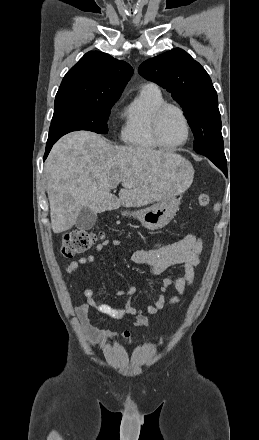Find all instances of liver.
<instances>
[{"instance_id": "6515ba94", "label": "liver", "mask_w": 259, "mask_h": 440, "mask_svg": "<svg viewBox=\"0 0 259 440\" xmlns=\"http://www.w3.org/2000/svg\"><path fill=\"white\" fill-rule=\"evenodd\" d=\"M51 226L54 233L73 227L87 207L102 213L141 207L182 193L192 182V165L178 154L113 145L88 131L63 136L45 165ZM127 184L119 197L111 193Z\"/></svg>"}]
</instances>
